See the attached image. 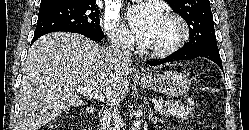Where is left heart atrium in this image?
<instances>
[{
	"label": "left heart atrium",
	"instance_id": "39dd6f15",
	"mask_svg": "<svg viewBox=\"0 0 249 130\" xmlns=\"http://www.w3.org/2000/svg\"><path fill=\"white\" fill-rule=\"evenodd\" d=\"M127 20L142 43L147 45L163 14L160 7L152 2L132 6L127 14Z\"/></svg>",
	"mask_w": 249,
	"mask_h": 130
}]
</instances>
